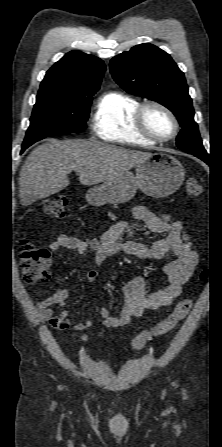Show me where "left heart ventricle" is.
Listing matches in <instances>:
<instances>
[{
	"label": "left heart ventricle",
	"mask_w": 222,
	"mask_h": 447,
	"mask_svg": "<svg viewBox=\"0 0 222 447\" xmlns=\"http://www.w3.org/2000/svg\"><path fill=\"white\" fill-rule=\"evenodd\" d=\"M147 128L158 137H168L173 132L170 118L157 108H149L145 113Z\"/></svg>",
	"instance_id": "1"
}]
</instances>
